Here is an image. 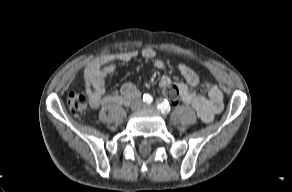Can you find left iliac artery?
Masks as SVG:
<instances>
[{"mask_svg":"<svg viewBox=\"0 0 292 192\" xmlns=\"http://www.w3.org/2000/svg\"><path fill=\"white\" fill-rule=\"evenodd\" d=\"M157 108L161 111L163 114H168L171 110V107L167 100L161 101L158 103Z\"/></svg>","mask_w":292,"mask_h":192,"instance_id":"left-iliac-artery-1","label":"left iliac artery"}]
</instances>
